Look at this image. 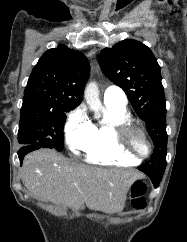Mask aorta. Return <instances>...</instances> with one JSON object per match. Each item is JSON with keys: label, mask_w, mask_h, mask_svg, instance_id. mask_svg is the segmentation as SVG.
I'll return each mask as SVG.
<instances>
[{"label": "aorta", "mask_w": 187, "mask_h": 242, "mask_svg": "<svg viewBox=\"0 0 187 242\" xmlns=\"http://www.w3.org/2000/svg\"><path fill=\"white\" fill-rule=\"evenodd\" d=\"M84 98L90 109L95 112V116L99 117L102 104L99 98V88L96 82H89L86 85Z\"/></svg>", "instance_id": "762f6f07"}]
</instances>
